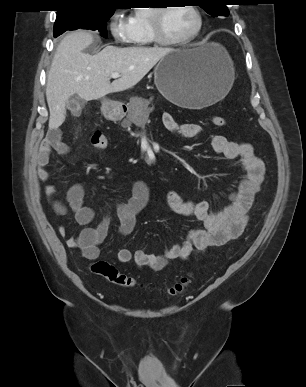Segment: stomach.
Instances as JSON below:
<instances>
[{"label":"stomach","instance_id":"1","mask_svg":"<svg viewBox=\"0 0 306 387\" xmlns=\"http://www.w3.org/2000/svg\"><path fill=\"white\" fill-rule=\"evenodd\" d=\"M234 79L232 61L225 48L216 43L173 50L154 69L159 92L170 102L188 109H201L223 99ZM101 111L112 121L125 115L122 104L110 99L102 100Z\"/></svg>","mask_w":306,"mask_h":387}]
</instances>
